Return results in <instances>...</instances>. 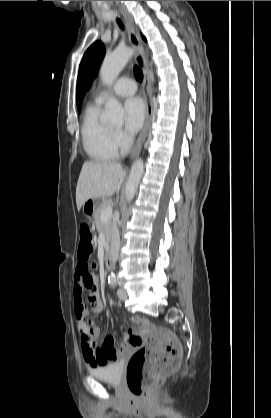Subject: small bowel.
Wrapping results in <instances>:
<instances>
[{"label":"small bowel","mask_w":271,"mask_h":418,"mask_svg":"<svg viewBox=\"0 0 271 418\" xmlns=\"http://www.w3.org/2000/svg\"><path fill=\"white\" fill-rule=\"evenodd\" d=\"M85 292L89 294V302L95 313H101L104 309L103 300L97 288V265L91 264L89 259L76 260V273L73 279V302L75 306L76 322L80 331L81 347L84 360L91 367H99L117 360L128 353L132 348L140 345L141 339L133 329H129L120 345H116L114 336L107 337L102 344L97 341L101 335V329L95 326L94 319H89L88 314H78L81 310L87 313L83 300ZM133 317L132 322L141 324Z\"/></svg>","instance_id":"small-bowel-1"}]
</instances>
